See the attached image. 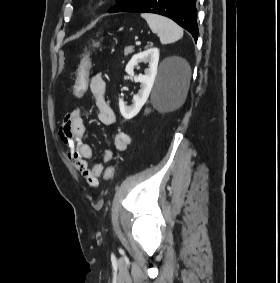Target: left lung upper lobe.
<instances>
[{
  "mask_svg": "<svg viewBox=\"0 0 280 283\" xmlns=\"http://www.w3.org/2000/svg\"><path fill=\"white\" fill-rule=\"evenodd\" d=\"M138 0H116V5L108 10L109 13L122 12Z\"/></svg>",
  "mask_w": 280,
  "mask_h": 283,
  "instance_id": "5c2ea615",
  "label": "left lung upper lobe"
}]
</instances>
